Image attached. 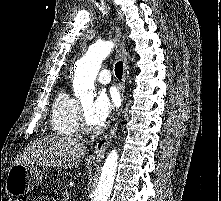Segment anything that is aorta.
Returning <instances> with one entry per match:
<instances>
[{
    "label": "aorta",
    "mask_w": 221,
    "mask_h": 201,
    "mask_svg": "<svg viewBox=\"0 0 221 201\" xmlns=\"http://www.w3.org/2000/svg\"><path fill=\"white\" fill-rule=\"evenodd\" d=\"M112 41H101L91 45L86 56L79 62L74 79L73 89L76 97L90 96L94 90V81L101 68L102 61L110 54ZM118 165V153L113 149L105 159L99 183L92 201H107L110 197Z\"/></svg>",
    "instance_id": "obj_1"
}]
</instances>
